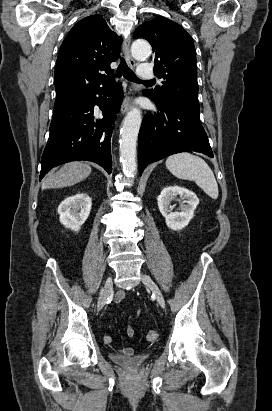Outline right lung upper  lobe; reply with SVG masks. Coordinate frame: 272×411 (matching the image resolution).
<instances>
[{
	"label": "right lung upper lobe",
	"instance_id": "cb5924a9",
	"mask_svg": "<svg viewBox=\"0 0 272 411\" xmlns=\"http://www.w3.org/2000/svg\"><path fill=\"white\" fill-rule=\"evenodd\" d=\"M121 41L100 15H91L76 23L63 41L57 58L55 105L77 102L106 87L113 74L110 64L119 57Z\"/></svg>",
	"mask_w": 272,
	"mask_h": 411
}]
</instances>
